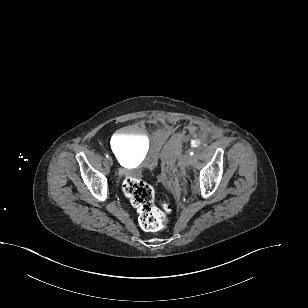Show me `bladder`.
Listing matches in <instances>:
<instances>
[{
	"label": "bladder",
	"mask_w": 308,
	"mask_h": 308,
	"mask_svg": "<svg viewBox=\"0 0 308 308\" xmlns=\"http://www.w3.org/2000/svg\"><path fill=\"white\" fill-rule=\"evenodd\" d=\"M111 149L121 165H130L147 155L149 140L139 126L129 125L114 134Z\"/></svg>",
	"instance_id": "obj_1"
}]
</instances>
